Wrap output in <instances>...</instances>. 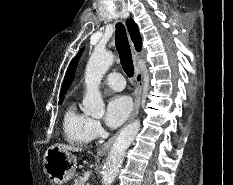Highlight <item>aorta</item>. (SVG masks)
I'll use <instances>...</instances> for the list:
<instances>
[{"label":"aorta","mask_w":233,"mask_h":185,"mask_svg":"<svg viewBox=\"0 0 233 185\" xmlns=\"http://www.w3.org/2000/svg\"><path fill=\"white\" fill-rule=\"evenodd\" d=\"M114 62L112 52L95 49L85 71L86 93L83 98V111L86 115L101 118L105 112V104L99 92V84L103 75ZM140 130V121L127 125L115 139L104 168L102 184L111 185L118 175L125 151L134 141Z\"/></svg>","instance_id":"aorta-1"}]
</instances>
